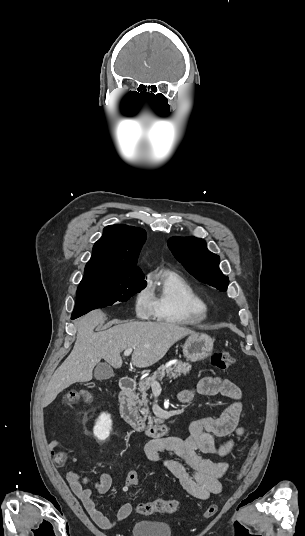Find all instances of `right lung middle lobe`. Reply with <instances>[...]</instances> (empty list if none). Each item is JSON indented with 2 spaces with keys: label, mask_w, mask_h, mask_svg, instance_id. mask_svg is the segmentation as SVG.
I'll return each instance as SVG.
<instances>
[{
  "label": "right lung middle lobe",
  "mask_w": 305,
  "mask_h": 536,
  "mask_svg": "<svg viewBox=\"0 0 305 536\" xmlns=\"http://www.w3.org/2000/svg\"><path fill=\"white\" fill-rule=\"evenodd\" d=\"M146 285L144 277L120 279L83 277L77 289L76 305L72 315L81 316L93 309L111 306L116 301H127Z\"/></svg>",
  "instance_id": "right-lung-middle-lobe-1"
}]
</instances>
